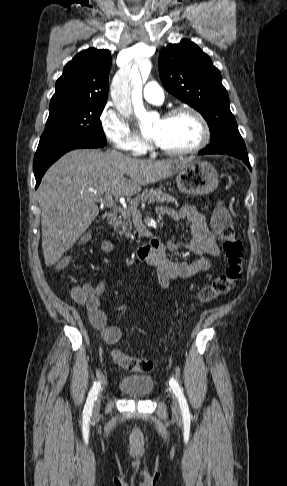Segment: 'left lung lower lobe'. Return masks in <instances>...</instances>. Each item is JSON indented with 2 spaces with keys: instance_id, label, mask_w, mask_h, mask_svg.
Segmentation results:
<instances>
[{
  "instance_id": "1",
  "label": "left lung lower lobe",
  "mask_w": 287,
  "mask_h": 486,
  "mask_svg": "<svg viewBox=\"0 0 287 486\" xmlns=\"http://www.w3.org/2000/svg\"><path fill=\"white\" fill-rule=\"evenodd\" d=\"M199 154H204V153L199 152ZM235 157L241 159L248 166V168L251 170V166H250V163H249L248 156H235Z\"/></svg>"
}]
</instances>
